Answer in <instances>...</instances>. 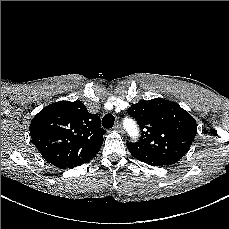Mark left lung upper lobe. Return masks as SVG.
Wrapping results in <instances>:
<instances>
[{"label": "left lung upper lobe", "mask_w": 229, "mask_h": 229, "mask_svg": "<svg viewBox=\"0 0 229 229\" xmlns=\"http://www.w3.org/2000/svg\"><path fill=\"white\" fill-rule=\"evenodd\" d=\"M128 114L137 120L142 134L138 142L127 143V148L149 165L176 163L188 152L197 133L195 119L178 104L162 98L133 104Z\"/></svg>", "instance_id": "5c2ea615"}]
</instances>
